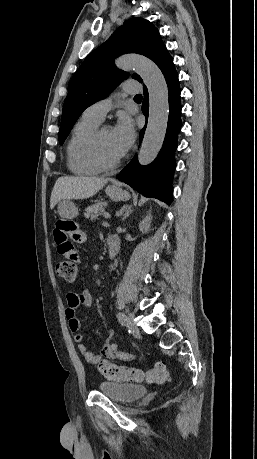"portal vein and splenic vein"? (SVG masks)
I'll use <instances>...</instances> for the list:
<instances>
[{"mask_svg": "<svg viewBox=\"0 0 257 459\" xmlns=\"http://www.w3.org/2000/svg\"><path fill=\"white\" fill-rule=\"evenodd\" d=\"M103 217H104L105 219H109V218H110V214H109L108 212H104V213H103Z\"/></svg>", "mask_w": 257, "mask_h": 459, "instance_id": "obj_1", "label": "portal vein and splenic vein"}]
</instances>
